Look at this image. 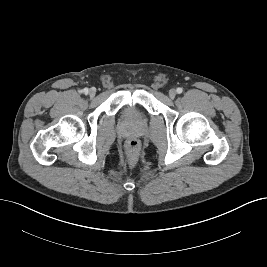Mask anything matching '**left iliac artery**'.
Wrapping results in <instances>:
<instances>
[{
    "instance_id": "44dca946",
    "label": "left iliac artery",
    "mask_w": 267,
    "mask_h": 267,
    "mask_svg": "<svg viewBox=\"0 0 267 267\" xmlns=\"http://www.w3.org/2000/svg\"><path fill=\"white\" fill-rule=\"evenodd\" d=\"M176 91H177V93H178V94H181V93H182V91H183V89L179 87V88H177V90H176Z\"/></svg>"
}]
</instances>
